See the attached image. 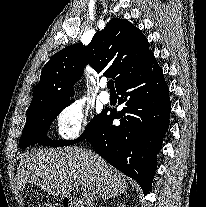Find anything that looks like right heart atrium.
I'll list each match as a JSON object with an SVG mask.
<instances>
[{"instance_id":"right-heart-atrium-1","label":"right heart atrium","mask_w":206,"mask_h":207,"mask_svg":"<svg viewBox=\"0 0 206 207\" xmlns=\"http://www.w3.org/2000/svg\"><path fill=\"white\" fill-rule=\"evenodd\" d=\"M91 113L79 100L65 105L57 114L56 129L63 140H73L84 133L89 127Z\"/></svg>"}]
</instances>
